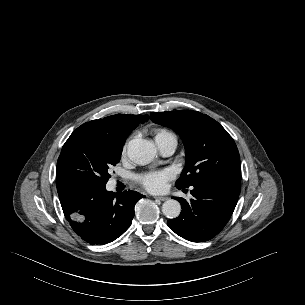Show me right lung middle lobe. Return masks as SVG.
<instances>
[{
	"instance_id": "1",
	"label": "right lung middle lobe",
	"mask_w": 305,
	"mask_h": 305,
	"mask_svg": "<svg viewBox=\"0 0 305 305\" xmlns=\"http://www.w3.org/2000/svg\"><path fill=\"white\" fill-rule=\"evenodd\" d=\"M123 146L107 138L76 129L63 145L56 169V185L103 187L111 177Z\"/></svg>"
}]
</instances>
